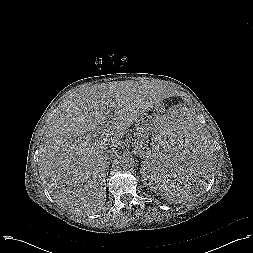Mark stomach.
Wrapping results in <instances>:
<instances>
[{"label": "stomach", "instance_id": "obj_1", "mask_svg": "<svg viewBox=\"0 0 253 253\" xmlns=\"http://www.w3.org/2000/svg\"><path fill=\"white\" fill-rule=\"evenodd\" d=\"M162 113L163 110L161 107L159 108L155 104L149 107L142 115L143 126L155 133V131L159 128L162 118L164 117Z\"/></svg>", "mask_w": 253, "mask_h": 253}]
</instances>
